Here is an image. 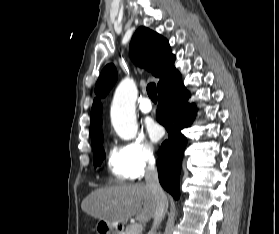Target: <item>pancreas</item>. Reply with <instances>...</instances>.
I'll list each match as a JSON object with an SVG mask.
<instances>
[{"label":"pancreas","instance_id":"pancreas-1","mask_svg":"<svg viewBox=\"0 0 279 234\" xmlns=\"http://www.w3.org/2000/svg\"><path fill=\"white\" fill-rule=\"evenodd\" d=\"M132 227H133V225L128 226V227L125 229V232H124L123 234H133V233H132ZM134 234H140V233H139V232H136V233H134Z\"/></svg>","mask_w":279,"mask_h":234}]
</instances>
